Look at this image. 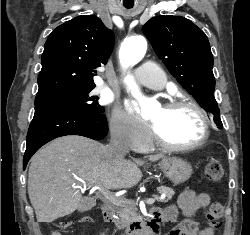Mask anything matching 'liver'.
<instances>
[{"label": "liver", "mask_w": 250, "mask_h": 235, "mask_svg": "<svg viewBox=\"0 0 250 235\" xmlns=\"http://www.w3.org/2000/svg\"><path fill=\"white\" fill-rule=\"evenodd\" d=\"M163 155L149 156L155 162ZM142 178L138 166L124 157L111 159L106 146L89 138L68 135L57 138L32 158L28 195L38 222H52L73 213L83 199V187L123 189Z\"/></svg>", "instance_id": "6515ba94"}]
</instances>
